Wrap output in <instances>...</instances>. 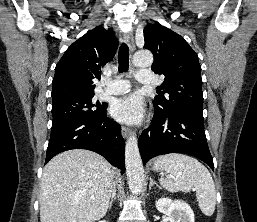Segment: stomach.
Wrapping results in <instances>:
<instances>
[{
	"mask_svg": "<svg viewBox=\"0 0 257 222\" xmlns=\"http://www.w3.org/2000/svg\"><path fill=\"white\" fill-rule=\"evenodd\" d=\"M153 169H156V168H155V164H154V166H153Z\"/></svg>",
	"mask_w": 257,
	"mask_h": 222,
	"instance_id": "obj_1",
	"label": "stomach"
}]
</instances>
